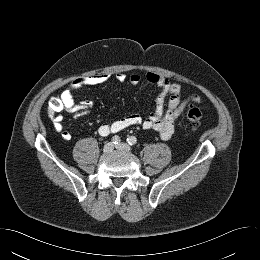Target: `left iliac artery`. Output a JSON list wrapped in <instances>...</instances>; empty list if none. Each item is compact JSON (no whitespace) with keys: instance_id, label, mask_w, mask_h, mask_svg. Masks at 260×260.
Returning <instances> with one entry per match:
<instances>
[{"instance_id":"1","label":"left iliac artery","mask_w":260,"mask_h":260,"mask_svg":"<svg viewBox=\"0 0 260 260\" xmlns=\"http://www.w3.org/2000/svg\"><path fill=\"white\" fill-rule=\"evenodd\" d=\"M127 142L129 145L133 146L137 143V139L134 136H130L129 138H127Z\"/></svg>"}]
</instances>
